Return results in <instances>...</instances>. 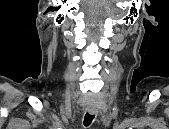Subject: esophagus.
<instances>
[{
  "instance_id": "obj_1",
  "label": "esophagus",
  "mask_w": 169,
  "mask_h": 129,
  "mask_svg": "<svg viewBox=\"0 0 169 129\" xmlns=\"http://www.w3.org/2000/svg\"><path fill=\"white\" fill-rule=\"evenodd\" d=\"M86 110L92 115L96 114V110L92 107H87Z\"/></svg>"
}]
</instances>
